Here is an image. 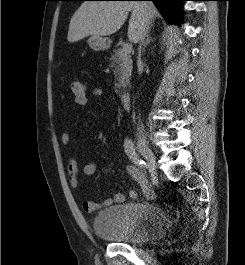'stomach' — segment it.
I'll return each mask as SVG.
<instances>
[{"label": "stomach", "mask_w": 245, "mask_h": 265, "mask_svg": "<svg viewBox=\"0 0 245 265\" xmlns=\"http://www.w3.org/2000/svg\"><path fill=\"white\" fill-rule=\"evenodd\" d=\"M90 48L94 51H104L110 47L111 41L102 37H91L88 40Z\"/></svg>", "instance_id": "0dacf381"}]
</instances>
